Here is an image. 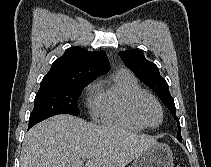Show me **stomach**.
Returning <instances> with one entry per match:
<instances>
[{
	"mask_svg": "<svg viewBox=\"0 0 211 167\" xmlns=\"http://www.w3.org/2000/svg\"><path fill=\"white\" fill-rule=\"evenodd\" d=\"M130 167H173V154L166 144L156 143L139 155Z\"/></svg>",
	"mask_w": 211,
	"mask_h": 167,
	"instance_id": "stomach-1",
	"label": "stomach"
}]
</instances>
